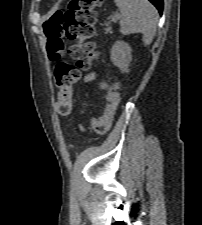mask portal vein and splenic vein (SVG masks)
Segmentation results:
<instances>
[{
	"instance_id": "portal-vein-and-splenic-vein-1",
	"label": "portal vein and splenic vein",
	"mask_w": 202,
	"mask_h": 225,
	"mask_svg": "<svg viewBox=\"0 0 202 225\" xmlns=\"http://www.w3.org/2000/svg\"><path fill=\"white\" fill-rule=\"evenodd\" d=\"M118 18H119V14H117L116 16H114V17L112 18V21H116Z\"/></svg>"
}]
</instances>
